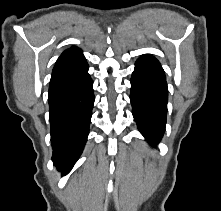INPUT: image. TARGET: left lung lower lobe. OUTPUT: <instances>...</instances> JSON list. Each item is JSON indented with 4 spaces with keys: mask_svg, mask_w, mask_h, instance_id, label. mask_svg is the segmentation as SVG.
<instances>
[{
    "mask_svg": "<svg viewBox=\"0 0 221 211\" xmlns=\"http://www.w3.org/2000/svg\"><path fill=\"white\" fill-rule=\"evenodd\" d=\"M130 101L139 131L149 142L158 143L165 131L168 89L164 70L151 54L135 63Z\"/></svg>",
    "mask_w": 221,
    "mask_h": 211,
    "instance_id": "left-lung-lower-lobe-1",
    "label": "left lung lower lobe"
}]
</instances>
